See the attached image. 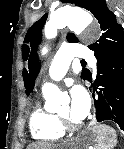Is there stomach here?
<instances>
[{
    "label": "stomach",
    "mask_w": 124,
    "mask_h": 149,
    "mask_svg": "<svg viewBox=\"0 0 124 149\" xmlns=\"http://www.w3.org/2000/svg\"><path fill=\"white\" fill-rule=\"evenodd\" d=\"M97 140L95 127L89 128L76 137L71 149H86L89 146H93Z\"/></svg>",
    "instance_id": "0dacf381"
}]
</instances>
